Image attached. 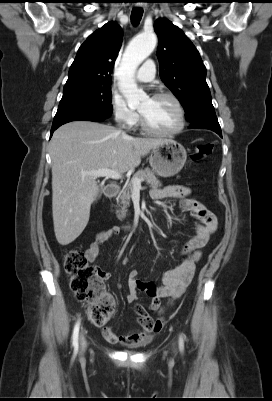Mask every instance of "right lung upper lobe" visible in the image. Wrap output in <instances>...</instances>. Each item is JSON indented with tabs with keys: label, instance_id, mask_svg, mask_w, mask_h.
I'll use <instances>...</instances> for the list:
<instances>
[{
	"label": "right lung upper lobe",
	"instance_id": "cb5924a9",
	"mask_svg": "<svg viewBox=\"0 0 272 401\" xmlns=\"http://www.w3.org/2000/svg\"><path fill=\"white\" fill-rule=\"evenodd\" d=\"M122 43V29L108 22L80 46L63 91L111 82V73Z\"/></svg>",
	"mask_w": 272,
	"mask_h": 401
}]
</instances>
